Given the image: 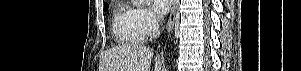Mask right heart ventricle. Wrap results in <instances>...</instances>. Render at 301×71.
<instances>
[{
    "instance_id": "1",
    "label": "right heart ventricle",
    "mask_w": 301,
    "mask_h": 71,
    "mask_svg": "<svg viewBox=\"0 0 301 71\" xmlns=\"http://www.w3.org/2000/svg\"><path fill=\"white\" fill-rule=\"evenodd\" d=\"M112 32L115 40L125 45L140 44L146 37L138 23L137 10L123 2L115 9Z\"/></svg>"
}]
</instances>
